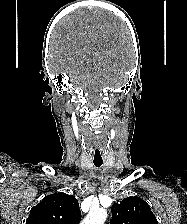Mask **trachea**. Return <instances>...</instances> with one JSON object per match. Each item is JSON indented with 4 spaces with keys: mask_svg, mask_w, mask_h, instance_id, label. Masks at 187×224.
I'll use <instances>...</instances> for the list:
<instances>
[{
    "mask_svg": "<svg viewBox=\"0 0 187 224\" xmlns=\"http://www.w3.org/2000/svg\"><path fill=\"white\" fill-rule=\"evenodd\" d=\"M102 164H103L102 162H94V165H95L96 167H100Z\"/></svg>",
    "mask_w": 187,
    "mask_h": 224,
    "instance_id": "1",
    "label": "trachea"
}]
</instances>
